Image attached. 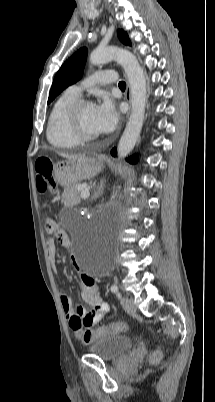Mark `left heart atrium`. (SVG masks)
I'll use <instances>...</instances> for the list:
<instances>
[{
	"label": "left heart atrium",
	"instance_id": "obj_1",
	"mask_svg": "<svg viewBox=\"0 0 215 402\" xmlns=\"http://www.w3.org/2000/svg\"><path fill=\"white\" fill-rule=\"evenodd\" d=\"M118 118L115 105L108 97L103 98L101 103L95 106V128L98 133L112 131L118 123Z\"/></svg>",
	"mask_w": 215,
	"mask_h": 402
}]
</instances>
